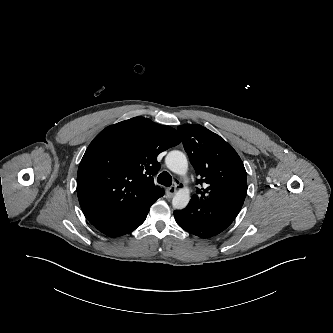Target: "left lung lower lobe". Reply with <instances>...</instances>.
I'll return each mask as SVG.
<instances>
[{
    "label": "left lung lower lobe",
    "instance_id": "obj_1",
    "mask_svg": "<svg viewBox=\"0 0 333 333\" xmlns=\"http://www.w3.org/2000/svg\"><path fill=\"white\" fill-rule=\"evenodd\" d=\"M244 199L240 191H227L205 199L191 198L186 208L174 211V218L184 230L199 237H212L233 222Z\"/></svg>",
    "mask_w": 333,
    "mask_h": 333
}]
</instances>
